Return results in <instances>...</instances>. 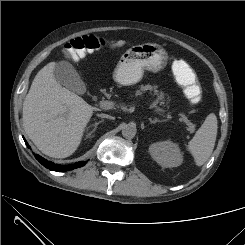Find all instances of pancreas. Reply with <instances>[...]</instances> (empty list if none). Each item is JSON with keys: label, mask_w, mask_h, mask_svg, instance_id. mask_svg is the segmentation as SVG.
I'll return each instance as SVG.
<instances>
[{"label": "pancreas", "mask_w": 245, "mask_h": 245, "mask_svg": "<svg viewBox=\"0 0 245 245\" xmlns=\"http://www.w3.org/2000/svg\"><path fill=\"white\" fill-rule=\"evenodd\" d=\"M158 87L156 85H150V84H147V85H141L139 87V90H137L135 92V97H138V96H141L144 92L146 91H150V93L154 96H156V101L159 102L161 105H164L166 106L165 104V98H166V94L163 92V91H159L157 89ZM131 97H133V95H131Z\"/></svg>", "instance_id": "cf45deb5"}]
</instances>
